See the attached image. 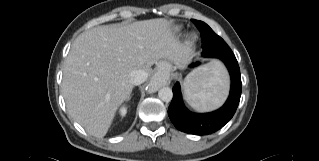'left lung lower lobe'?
Instances as JSON below:
<instances>
[{
    "label": "left lung lower lobe",
    "instance_id": "1",
    "mask_svg": "<svg viewBox=\"0 0 319 161\" xmlns=\"http://www.w3.org/2000/svg\"><path fill=\"white\" fill-rule=\"evenodd\" d=\"M209 34L214 32L211 28ZM226 65L231 77L230 94L225 104L211 113L190 112L182 101L180 84L177 82L173 88V99L168 108V115L174 126L185 133L195 135H208L222 128L235 114L241 97V75L238 62L233 55L219 58Z\"/></svg>",
    "mask_w": 319,
    "mask_h": 161
}]
</instances>
